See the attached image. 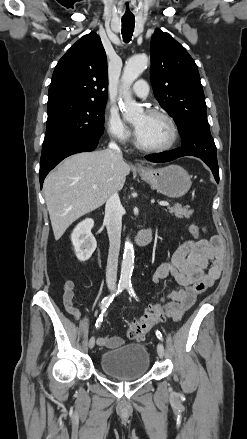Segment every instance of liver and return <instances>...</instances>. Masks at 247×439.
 Instances as JSON below:
<instances>
[{"label":"liver","instance_id":"1","mask_svg":"<svg viewBox=\"0 0 247 439\" xmlns=\"http://www.w3.org/2000/svg\"><path fill=\"white\" fill-rule=\"evenodd\" d=\"M129 173L130 166L110 149L65 159L43 186L55 240L75 220L102 206L113 191L121 189Z\"/></svg>","mask_w":247,"mask_h":439}]
</instances>
